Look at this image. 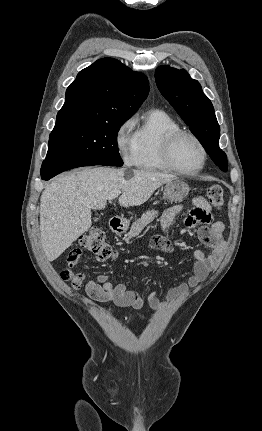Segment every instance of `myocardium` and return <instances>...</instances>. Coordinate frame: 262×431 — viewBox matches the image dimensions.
<instances>
[{
	"mask_svg": "<svg viewBox=\"0 0 262 431\" xmlns=\"http://www.w3.org/2000/svg\"><path fill=\"white\" fill-rule=\"evenodd\" d=\"M183 137H188L192 139L200 148L202 152V163L201 165L196 168L195 170L188 171L183 169L175 160L174 157V148L177 143V141ZM162 158L165 164L173 171H176L184 176H195L198 174L206 165L208 153L205 145L203 142L193 133L184 131V130H177L173 131L171 133H168L163 141V147H162Z\"/></svg>",
	"mask_w": 262,
	"mask_h": 431,
	"instance_id": "obj_1",
	"label": "myocardium"
}]
</instances>
